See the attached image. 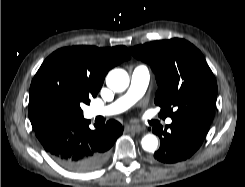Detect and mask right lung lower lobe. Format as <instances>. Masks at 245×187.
I'll list each match as a JSON object with an SVG mask.
<instances>
[{
  "instance_id": "obj_1",
  "label": "right lung lower lobe",
  "mask_w": 245,
  "mask_h": 187,
  "mask_svg": "<svg viewBox=\"0 0 245 187\" xmlns=\"http://www.w3.org/2000/svg\"><path fill=\"white\" fill-rule=\"evenodd\" d=\"M83 116L56 119L35 129L36 137L50 157L67 170L87 172L103 165L109 149L123 133L121 124L110 120L91 130Z\"/></svg>"
}]
</instances>
